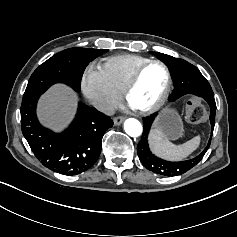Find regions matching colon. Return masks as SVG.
Instances as JSON below:
<instances>
[{
  "label": "colon",
  "mask_w": 237,
  "mask_h": 237,
  "mask_svg": "<svg viewBox=\"0 0 237 237\" xmlns=\"http://www.w3.org/2000/svg\"><path fill=\"white\" fill-rule=\"evenodd\" d=\"M186 117L191 123L198 124L208 118V110L199 97L191 98L186 104Z\"/></svg>",
  "instance_id": "colon-1"
}]
</instances>
